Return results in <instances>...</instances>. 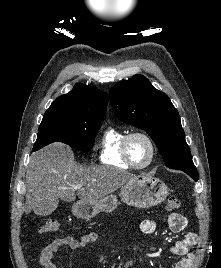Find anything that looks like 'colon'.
<instances>
[{
    "mask_svg": "<svg viewBox=\"0 0 221 268\" xmlns=\"http://www.w3.org/2000/svg\"><path fill=\"white\" fill-rule=\"evenodd\" d=\"M180 200L177 197H170L167 202V209L172 211L180 207ZM59 229V223L57 220L50 219L46 221L41 227V233H52Z\"/></svg>",
    "mask_w": 221,
    "mask_h": 268,
    "instance_id": "5ec220e1",
    "label": "colon"
}]
</instances>
